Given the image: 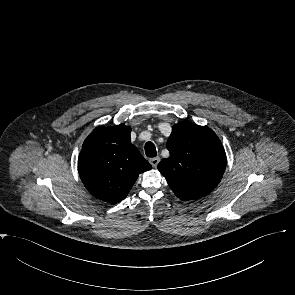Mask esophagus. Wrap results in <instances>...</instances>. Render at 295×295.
Listing matches in <instances>:
<instances>
[{"instance_id": "obj_1", "label": "esophagus", "mask_w": 295, "mask_h": 295, "mask_svg": "<svg viewBox=\"0 0 295 295\" xmlns=\"http://www.w3.org/2000/svg\"><path fill=\"white\" fill-rule=\"evenodd\" d=\"M159 161H160V157H158V156H157V157H154V158H151V159L149 160L150 164H151L154 168L157 167Z\"/></svg>"}]
</instances>
